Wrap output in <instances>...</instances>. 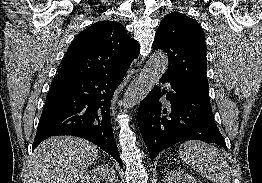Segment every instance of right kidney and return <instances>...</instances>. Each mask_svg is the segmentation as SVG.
I'll list each match as a JSON object with an SVG mask.
<instances>
[{"mask_svg":"<svg viewBox=\"0 0 262 183\" xmlns=\"http://www.w3.org/2000/svg\"><path fill=\"white\" fill-rule=\"evenodd\" d=\"M116 183V175L112 166L102 165L87 172L81 183Z\"/></svg>","mask_w":262,"mask_h":183,"instance_id":"1","label":"right kidney"}]
</instances>
